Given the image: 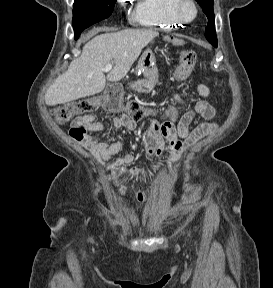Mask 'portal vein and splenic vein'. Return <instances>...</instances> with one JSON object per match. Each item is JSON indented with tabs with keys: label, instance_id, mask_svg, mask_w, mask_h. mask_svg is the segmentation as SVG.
<instances>
[{
	"label": "portal vein and splenic vein",
	"instance_id": "18ae733b",
	"mask_svg": "<svg viewBox=\"0 0 273 288\" xmlns=\"http://www.w3.org/2000/svg\"><path fill=\"white\" fill-rule=\"evenodd\" d=\"M113 68V63L107 64L104 68L103 71L108 72Z\"/></svg>",
	"mask_w": 273,
	"mask_h": 288
}]
</instances>
